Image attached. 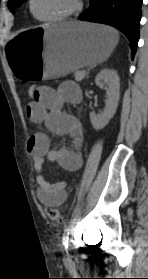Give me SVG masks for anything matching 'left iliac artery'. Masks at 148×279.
<instances>
[{
  "label": "left iliac artery",
  "mask_w": 148,
  "mask_h": 279,
  "mask_svg": "<svg viewBox=\"0 0 148 279\" xmlns=\"http://www.w3.org/2000/svg\"><path fill=\"white\" fill-rule=\"evenodd\" d=\"M69 232H70V227L67 226L64 230V234H63V238H62L63 245L65 246V248H67V246H68Z\"/></svg>",
  "instance_id": "left-iliac-artery-1"
}]
</instances>
